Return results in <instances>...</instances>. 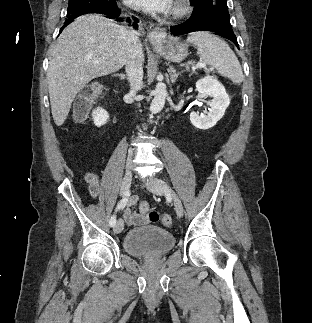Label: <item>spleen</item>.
I'll return each mask as SVG.
<instances>
[{
  "label": "spleen",
  "mask_w": 312,
  "mask_h": 323,
  "mask_svg": "<svg viewBox=\"0 0 312 323\" xmlns=\"http://www.w3.org/2000/svg\"><path fill=\"white\" fill-rule=\"evenodd\" d=\"M186 42L193 44L204 64L215 68L218 74L230 78L234 84L243 82L242 68L227 42L212 32H192Z\"/></svg>",
  "instance_id": "spleen-1"
}]
</instances>
